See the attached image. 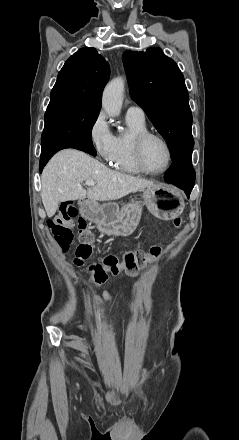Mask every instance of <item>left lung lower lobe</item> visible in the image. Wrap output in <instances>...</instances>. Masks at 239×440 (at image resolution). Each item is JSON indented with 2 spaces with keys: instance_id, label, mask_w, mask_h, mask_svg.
Listing matches in <instances>:
<instances>
[{
  "instance_id": "obj_1",
  "label": "left lung lower lobe",
  "mask_w": 239,
  "mask_h": 440,
  "mask_svg": "<svg viewBox=\"0 0 239 440\" xmlns=\"http://www.w3.org/2000/svg\"><path fill=\"white\" fill-rule=\"evenodd\" d=\"M165 176V181L184 190L187 197L194 187L195 171L192 167V150L187 151L175 159Z\"/></svg>"
}]
</instances>
